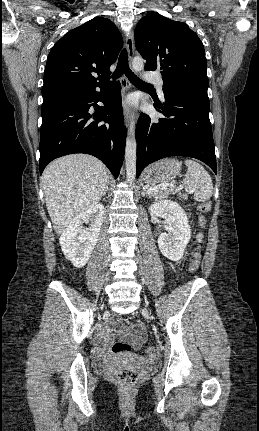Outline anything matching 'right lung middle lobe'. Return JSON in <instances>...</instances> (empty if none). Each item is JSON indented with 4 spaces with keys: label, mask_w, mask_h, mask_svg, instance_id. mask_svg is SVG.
I'll return each mask as SVG.
<instances>
[{
    "label": "right lung middle lobe",
    "mask_w": 259,
    "mask_h": 431,
    "mask_svg": "<svg viewBox=\"0 0 259 431\" xmlns=\"http://www.w3.org/2000/svg\"><path fill=\"white\" fill-rule=\"evenodd\" d=\"M63 89H69V88H52V89L42 90V96H47L49 94H52L56 91L63 90Z\"/></svg>",
    "instance_id": "right-lung-middle-lobe-1"
}]
</instances>
